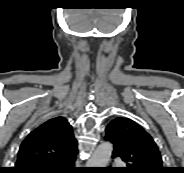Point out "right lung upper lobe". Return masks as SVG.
<instances>
[{"label":"right lung upper lobe","mask_w":184,"mask_h":173,"mask_svg":"<svg viewBox=\"0 0 184 173\" xmlns=\"http://www.w3.org/2000/svg\"><path fill=\"white\" fill-rule=\"evenodd\" d=\"M77 153V141L72 126L66 118L55 117L40 125L25 138L13 171L30 173L45 170Z\"/></svg>","instance_id":"obj_1"}]
</instances>
